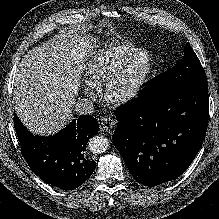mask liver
Listing matches in <instances>:
<instances>
[{
    "label": "liver",
    "mask_w": 219,
    "mask_h": 219,
    "mask_svg": "<svg viewBox=\"0 0 219 219\" xmlns=\"http://www.w3.org/2000/svg\"><path fill=\"white\" fill-rule=\"evenodd\" d=\"M90 37L63 32L29 51L15 74V110L27 129L39 135L62 130L72 119L83 55Z\"/></svg>",
    "instance_id": "1"
}]
</instances>
